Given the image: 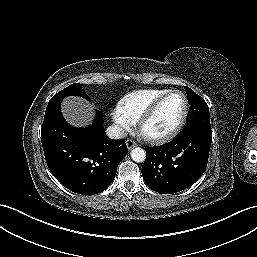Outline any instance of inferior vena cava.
<instances>
[{"label":"inferior vena cava","mask_w":257,"mask_h":257,"mask_svg":"<svg viewBox=\"0 0 257 257\" xmlns=\"http://www.w3.org/2000/svg\"><path fill=\"white\" fill-rule=\"evenodd\" d=\"M106 134L110 139H120L127 136V132L119 125L109 126L106 130Z\"/></svg>","instance_id":"602c4592"}]
</instances>
